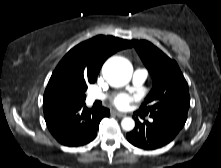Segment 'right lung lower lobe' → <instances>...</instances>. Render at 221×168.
Listing matches in <instances>:
<instances>
[{"label":"right lung lower lobe","instance_id":"1","mask_svg":"<svg viewBox=\"0 0 221 168\" xmlns=\"http://www.w3.org/2000/svg\"><path fill=\"white\" fill-rule=\"evenodd\" d=\"M47 127L55 139L66 146H81L97 135L99 123L110 115L107 108L88 109L84 102L43 106Z\"/></svg>","mask_w":221,"mask_h":168}]
</instances>
